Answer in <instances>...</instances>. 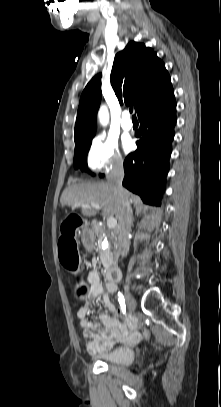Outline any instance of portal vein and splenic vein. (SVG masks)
Masks as SVG:
<instances>
[{
    "mask_svg": "<svg viewBox=\"0 0 221 407\" xmlns=\"http://www.w3.org/2000/svg\"><path fill=\"white\" fill-rule=\"evenodd\" d=\"M80 203H77L76 206H79ZM91 205L96 209V210H101V206L98 203L91 202ZM107 226L110 229H114L117 226V220L114 217H108L107 218Z\"/></svg>",
    "mask_w": 221,
    "mask_h": 407,
    "instance_id": "portal-vein-and-splenic-vein-1",
    "label": "portal vein and splenic vein"
}]
</instances>
